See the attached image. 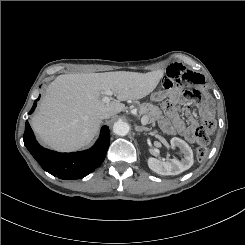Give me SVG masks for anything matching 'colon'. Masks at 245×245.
I'll use <instances>...</instances> for the list:
<instances>
[{
  "mask_svg": "<svg viewBox=\"0 0 245 245\" xmlns=\"http://www.w3.org/2000/svg\"><path fill=\"white\" fill-rule=\"evenodd\" d=\"M178 102L174 98H166L162 102V107L168 114L176 112ZM216 128V123L212 118H206L200 126H198L193 134L195 142L198 144L196 156L198 161H203L207 156L206 146L210 142V137Z\"/></svg>",
  "mask_w": 245,
  "mask_h": 245,
  "instance_id": "1",
  "label": "colon"
}]
</instances>
